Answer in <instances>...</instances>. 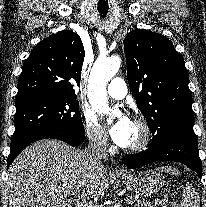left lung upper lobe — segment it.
I'll list each match as a JSON object with an SVG mask.
<instances>
[{
	"mask_svg": "<svg viewBox=\"0 0 206 207\" xmlns=\"http://www.w3.org/2000/svg\"><path fill=\"white\" fill-rule=\"evenodd\" d=\"M127 78L153 135L149 148L193 130L192 95L182 56L164 35L144 29L124 40Z\"/></svg>",
	"mask_w": 206,
	"mask_h": 207,
	"instance_id": "5c2ea615",
	"label": "left lung upper lobe"
}]
</instances>
